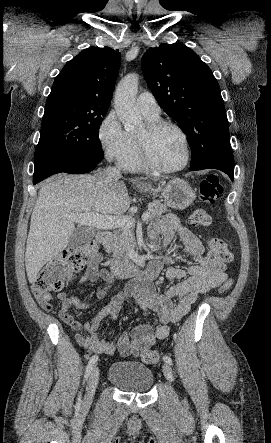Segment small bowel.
Wrapping results in <instances>:
<instances>
[{"label": "small bowel", "mask_w": 271, "mask_h": 443, "mask_svg": "<svg viewBox=\"0 0 271 443\" xmlns=\"http://www.w3.org/2000/svg\"><path fill=\"white\" fill-rule=\"evenodd\" d=\"M157 236L162 238L166 246L178 237L183 244V252L193 261L187 270L168 267L166 279L176 283L166 291L160 292L152 284L162 267L161 262L153 261L146 273L114 295L84 324L74 319L70 309L74 307L77 310H85L92 305L76 296H67L64 292H59L57 298L61 301V306L57 310L51 304L50 295L38 297V303L44 310L54 313L76 331V342L85 349L107 355L118 352L123 357L140 356L155 345L157 340L169 335L170 324L180 321L190 311L199 295L219 287L227 278L224 262L210 255L205 256V247L201 240L182 225L175 215H167L161 220L152 232V237ZM166 261H171V257ZM99 281L103 282V286L98 288L97 296L103 299L112 284V276L106 269L99 270L93 262L82 275L81 282ZM129 296L134 297L135 304L142 311L155 313L157 322L140 324L134 327L130 334L123 332L115 342L102 340L98 334L101 321L106 317L116 319L124 299Z\"/></svg>", "instance_id": "1"}]
</instances>
